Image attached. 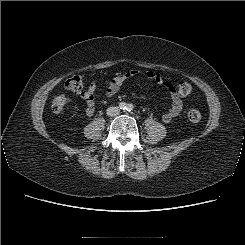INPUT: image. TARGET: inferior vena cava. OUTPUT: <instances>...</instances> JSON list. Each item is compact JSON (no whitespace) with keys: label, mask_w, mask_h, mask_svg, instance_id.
<instances>
[{"label":"inferior vena cava","mask_w":245,"mask_h":245,"mask_svg":"<svg viewBox=\"0 0 245 245\" xmlns=\"http://www.w3.org/2000/svg\"><path fill=\"white\" fill-rule=\"evenodd\" d=\"M120 113V109L118 107H109L107 109V115L111 116V117H115L117 115H119Z\"/></svg>","instance_id":"obj_1"}]
</instances>
